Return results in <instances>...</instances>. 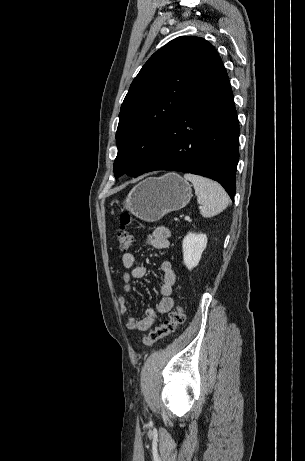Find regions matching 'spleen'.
<instances>
[{"label":"spleen","instance_id":"spleen-1","mask_svg":"<svg viewBox=\"0 0 305 461\" xmlns=\"http://www.w3.org/2000/svg\"><path fill=\"white\" fill-rule=\"evenodd\" d=\"M185 180L190 181L197 196V202L201 206V214L205 218L213 217L229 204V198L220 184L195 174H185Z\"/></svg>","mask_w":305,"mask_h":461}]
</instances>
